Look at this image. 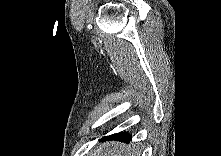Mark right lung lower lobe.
I'll return each mask as SVG.
<instances>
[{
    "mask_svg": "<svg viewBox=\"0 0 221 156\" xmlns=\"http://www.w3.org/2000/svg\"><path fill=\"white\" fill-rule=\"evenodd\" d=\"M102 140H116V141L129 143L131 141V136L130 134L126 132H120V133L103 137Z\"/></svg>",
    "mask_w": 221,
    "mask_h": 156,
    "instance_id": "98d812e1",
    "label": "right lung lower lobe"
}]
</instances>
